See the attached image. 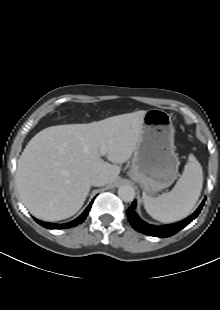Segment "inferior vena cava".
Masks as SVG:
<instances>
[{
	"label": "inferior vena cava",
	"mask_w": 220,
	"mask_h": 310,
	"mask_svg": "<svg viewBox=\"0 0 220 310\" xmlns=\"http://www.w3.org/2000/svg\"><path fill=\"white\" fill-rule=\"evenodd\" d=\"M108 183V178L102 174L94 175L91 178V185L93 186H104Z\"/></svg>",
	"instance_id": "inferior-vena-cava-1"
}]
</instances>
